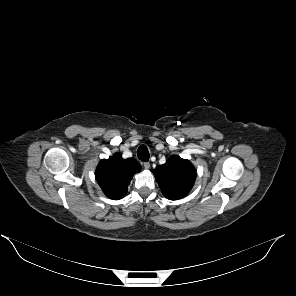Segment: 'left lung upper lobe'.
<instances>
[{"label": "left lung upper lobe", "instance_id": "1", "mask_svg": "<svg viewBox=\"0 0 296 296\" xmlns=\"http://www.w3.org/2000/svg\"><path fill=\"white\" fill-rule=\"evenodd\" d=\"M153 174L164 196L170 200L184 197L193 187L196 171L193 165L179 156H172L163 165L157 166Z\"/></svg>", "mask_w": 296, "mask_h": 296}]
</instances>
